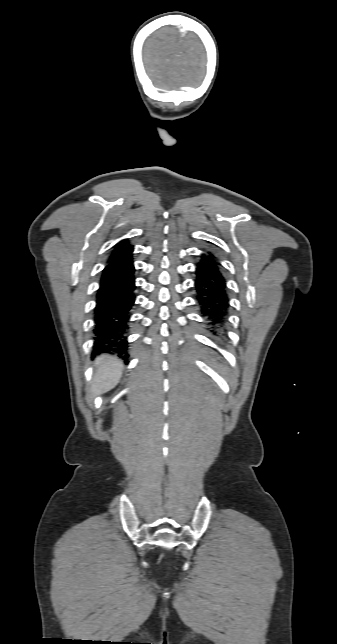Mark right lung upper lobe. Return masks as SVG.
I'll return each instance as SVG.
<instances>
[{
  "label": "right lung upper lobe",
  "instance_id": "right-lung-upper-lobe-1",
  "mask_svg": "<svg viewBox=\"0 0 337 644\" xmlns=\"http://www.w3.org/2000/svg\"><path fill=\"white\" fill-rule=\"evenodd\" d=\"M133 251V247L129 245L127 240H122L120 243L116 245L114 248L110 258L109 262L115 261L118 259H122L125 257L131 256V253Z\"/></svg>",
  "mask_w": 337,
  "mask_h": 644
}]
</instances>
